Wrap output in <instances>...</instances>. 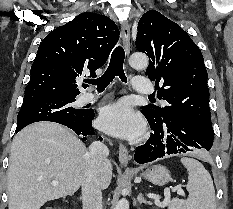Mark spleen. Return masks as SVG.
I'll list each match as a JSON object with an SVG mask.
<instances>
[{"instance_id":"obj_1","label":"spleen","mask_w":233,"mask_h":209,"mask_svg":"<svg viewBox=\"0 0 233 209\" xmlns=\"http://www.w3.org/2000/svg\"><path fill=\"white\" fill-rule=\"evenodd\" d=\"M188 171L187 200L174 198L169 209H216L215 189L212 178L203 164L193 158H181Z\"/></svg>"}]
</instances>
